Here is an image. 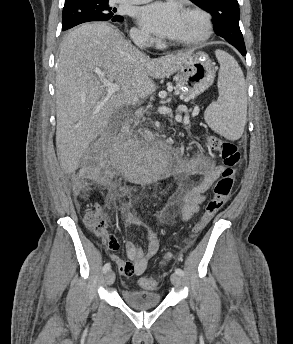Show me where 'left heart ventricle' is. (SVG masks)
<instances>
[{"label":"left heart ventricle","instance_id":"b2bd125f","mask_svg":"<svg viewBox=\"0 0 293 344\" xmlns=\"http://www.w3.org/2000/svg\"><path fill=\"white\" fill-rule=\"evenodd\" d=\"M201 31V23L197 16L182 13L180 25L175 34L170 37L172 41L186 40L195 37Z\"/></svg>","mask_w":293,"mask_h":344}]
</instances>
